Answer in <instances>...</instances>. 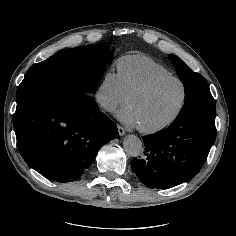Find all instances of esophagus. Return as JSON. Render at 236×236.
Returning <instances> with one entry per match:
<instances>
[{
    "label": "esophagus",
    "mask_w": 236,
    "mask_h": 236,
    "mask_svg": "<svg viewBox=\"0 0 236 236\" xmlns=\"http://www.w3.org/2000/svg\"><path fill=\"white\" fill-rule=\"evenodd\" d=\"M117 129H118V132H119L120 136H123L126 133L125 129L120 125H117Z\"/></svg>",
    "instance_id": "1"
}]
</instances>
